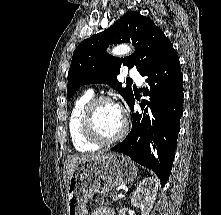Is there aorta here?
<instances>
[{"instance_id": "obj_1", "label": "aorta", "mask_w": 221, "mask_h": 215, "mask_svg": "<svg viewBox=\"0 0 221 215\" xmlns=\"http://www.w3.org/2000/svg\"><path fill=\"white\" fill-rule=\"evenodd\" d=\"M131 52V47L127 44H120L114 47L111 51V54L114 56H122Z\"/></svg>"}]
</instances>
